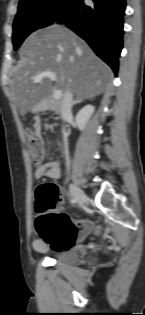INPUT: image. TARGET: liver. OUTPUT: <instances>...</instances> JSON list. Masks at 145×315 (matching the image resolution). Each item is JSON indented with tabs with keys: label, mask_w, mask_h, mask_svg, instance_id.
<instances>
[{
	"label": "liver",
	"mask_w": 145,
	"mask_h": 315,
	"mask_svg": "<svg viewBox=\"0 0 145 315\" xmlns=\"http://www.w3.org/2000/svg\"><path fill=\"white\" fill-rule=\"evenodd\" d=\"M20 61L13 70L11 95L23 116L51 97L54 91L70 90L78 98H92L104 92L112 75L90 47L75 33L62 26H51L32 33L22 44ZM56 75V85L41 72Z\"/></svg>",
	"instance_id": "liver-1"
}]
</instances>
